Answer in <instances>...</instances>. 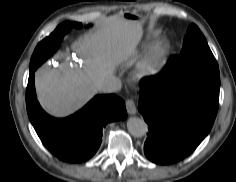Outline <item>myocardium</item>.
Returning <instances> with one entry per match:
<instances>
[{
    "mask_svg": "<svg viewBox=\"0 0 236 182\" xmlns=\"http://www.w3.org/2000/svg\"><path fill=\"white\" fill-rule=\"evenodd\" d=\"M167 49V42L162 39L158 40L148 55L138 64L134 70V78L138 81L148 78L165 56Z\"/></svg>",
    "mask_w": 236,
    "mask_h": 182,
    "instance_id": "f54148a6",
    "label": "myocardium"
}]
</instances>
